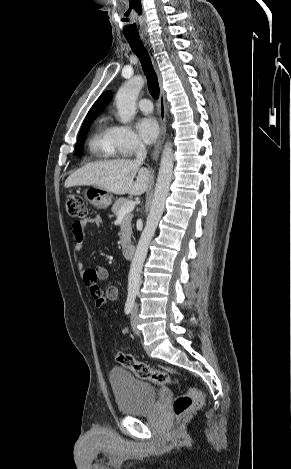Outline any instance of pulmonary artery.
Here are the masks:
<instances>
[{
    "label": "pulmonary artery",
    "mask_w": 291,
    "mask_h": 469,
    "mask_svg": "<svg viewBox=\"0 0 291 469\" xmlns=\"http://www.w3.org/2000/svg\"><path fill=\"white\" fill-rule=\"evenodd\" d=\"M138 107L144 113H151L153 110L152 102L147 98L141 99L138 102Z\"/></svg>",
    "instance_id": "pulmonary-artery-1"
}]
</instances>
